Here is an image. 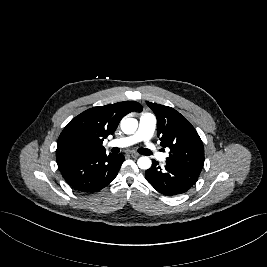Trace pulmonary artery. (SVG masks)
Returning a JSON list of instances; mask_svg holds the SVG:
<instances>
[{
	"label": "pulmonary artery",
	"mask_w": 267,
	"mask_h": 267,
	"mask_svg": "<svg viewBox=\"0 0 267 267\" xmlns=\"http://www.w3.org/2000/svg\"><path fill=\"white\" fill-rule=\"evenodd\" d=\"M156 117L151 113H144L139 118V126L135 133L114 139L108 143L109 147H128L138 142H144L146 147L152 154L157 156L161 161H165L166 156L156 151L154 144L151 142V137L156 128Z\"/></svg>",
	"instance_id": "obj_1"
}]
</instances>
